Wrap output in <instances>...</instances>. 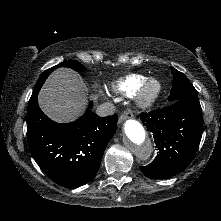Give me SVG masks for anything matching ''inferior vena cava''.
I'll list each match as a JSON object with an SVG mask.
<instances>
[{"label":"inferior vena cava","mask_w":221,"mask_h":221,"mask_svg":"<svg viewBox=\"0 0 221 221\" xmlns=\"http://www.w3.org/2000/svg\"><path fill=\"white\" fill-rule=\"evenodd\" d=\"M115 112V106L111 102H105L99 105L96 109V114L101 117L113 115Z\"/></svg>","instance_id":"obj_1"}]
</instances>
